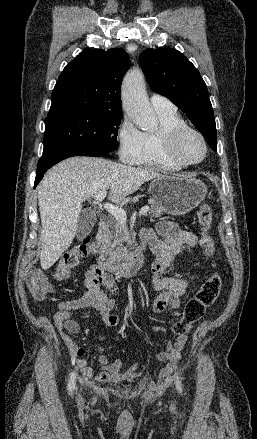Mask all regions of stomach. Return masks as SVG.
I'll return each mask as SVG.
<instances>
[{"instance_id":"obj_1","label":"stomach","mask_w":257,"mask_h":439,"mask_svg":"<svg viewBox=\"0 0 257 439\" xmlns=\"http://www.w3.org/2000/svg\"><path fill=\"white\" fill-rule=\"evenodd\" d=\"M149 192L167 213L184 215L205 199L207 187L189 175L161 176L151 182Z\"/></svg>"}]
</instances>
